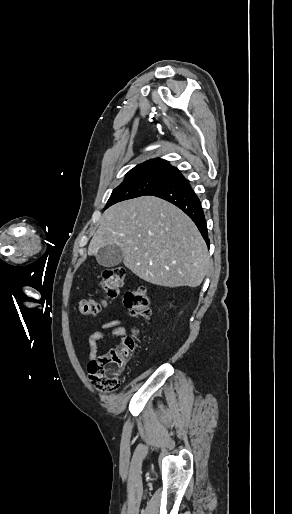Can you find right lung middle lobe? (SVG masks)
<instances>
[{
    "label": "right lung middle lobe",
    "instance_id": "1",
    "mask_svg": "<svg viewBox=\"0 0 292 514\" xmlns=\"http://www.w3.org/2000/svg\"><path fill=\"white\" fill-rule=\"evenodd\" d=\"M169 176L170 174L165 172L126 174L124 181L113 190L105 208L123 200L143 196Z\"/></svg>",
    "mask_w": 292,
    "mask_h": 514
}]
</instances>
